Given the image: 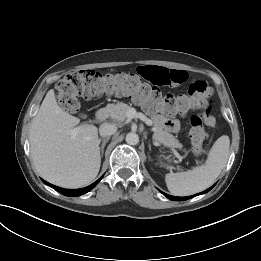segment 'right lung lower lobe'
Here are the masks:
<instances>
[{"label":"right lung lower lobe","mask_w":261,"mask_h":261,"mask_svg":"<svg viewBox=\"0 0 261 261\" xmlns=\"http://www.w3.org/2000/svg\"><path fill=\"white\" fill-rule=\"evenodd\" d=\"M102 178V177H101ZM98 179L96 182H94L93 184L85 187V188H81V189H63V188H59L57 186H54L44 180H42L46 185L52 187L53 189H55L56 191L60 192L61 194L65 195V196H71V197H76V196H80L82 194H85L87 192H89L92 188H94L96 186V184L101 180Z\"/></svg>","instance_id":"1"}]
</instances>
